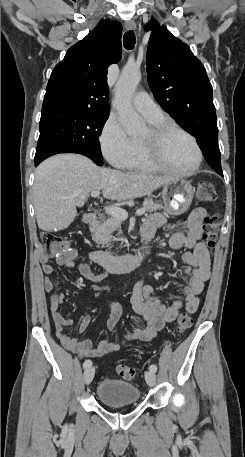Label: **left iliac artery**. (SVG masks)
<instances>
[{
  "label": "left iliac artery",
  "instance_id": "1",
  "mask_svg": "<svg viewBox=\"0 0 245 457\" xmlns=\"http://www.w3.org/2000/svg\"><path fill=\"white\" fill-rule=\"evenodd\" d=\"M149 370L155 373L157 371V366L155 364H152L150 365Z\"/></svg>",
  "mask_w": 245,
  "mask_h": 457
}]
</instances>
